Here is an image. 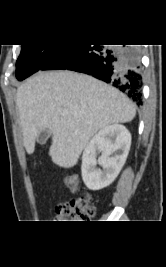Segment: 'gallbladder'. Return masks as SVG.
<instances>
[{
  "label": "gallbladder",
  "instance_id": "bac80fb5",
  "mask_svg": "<svg viewBox=\"0 0 166 267\" xmlns=\"http://www.w3.org/2000/svg\"><path fill=\"white\" fill-rule=\"evenodd\" d=\"M50 135L51 132L48 129L41 131L37 136V143H39L40 145H44L47 142Z\"/></svg>",
  "mask_w": 166,
  "mask_h": 267
}]
</instances>
